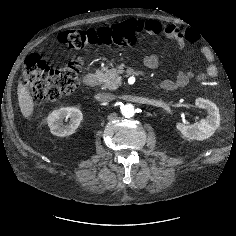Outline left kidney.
I'll return each mask as SVG.
<instances>
[{"label":"left kidney","mask_w":236,"mask_h":236,"mask_svg":"<svg viewBox=\"0 0 236 236\" xmlns=\"http://www.w3.org/2000/svg\"><path fill=\"white\" fill-rule=\"evenodd\" d=\"M195 106L205 109L207 112V117L205 119H201L193 125L177 123L176 128L184 137L190 140L202 141L210 138L220 126V113L219 108L215 103L204 98H197L195 100Z\"/></svg>","instance_id":"obj_1"}]
</instances>
